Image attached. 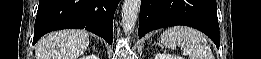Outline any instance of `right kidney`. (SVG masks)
I'll return each mask as SVG.
<instances>
[{
	"label": "right kidney",
	"mask_w": 261,
	"mask_h": 59,
	"mask_svg": "<svg viewBox=\"0 0 261 59\" xmlns=\"http://www.w3.org/2000/svg\"><path fill=\"white\" fill-rule=\"evenodd\" d=\"M84 59V58H83ZM86 59H98L97 57L95 56H91V57H86Z\"/></svg>",
	"instance_id": "ca27d5eb"
}]
</instances>
